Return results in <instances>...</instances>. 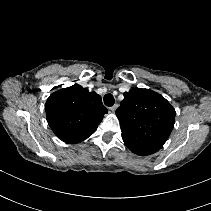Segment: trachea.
Returning <instances> with one entry per match:
<instances>
[{
	"instance_id": "obj_1",
	"label": "trachea",
	"mask_w": 211,
	"mask_h": 211,
	"mask_svg": "<svg viewBox=\"0 0 211 211\" xmlns=\"http://www.w3.org/2000/svg\"><path fill=\"white\" fill-rule=\"evenodd\" d=\"M104 104L108 107H112L114 105V97L112 94H106L103 98Z\"/></svg>"
}]
</instances>
